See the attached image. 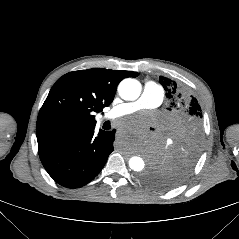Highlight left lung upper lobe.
Segmentation results:
<instances>
[{
  "mask_svg": "<svg viewBox=\"0 0 239 239\" xmlns=\"http://www.w3.org/2000/svg\"><path fill=\"white\" fill-rule=\"evenodd\" d=\"M159 81L169 102V141L142 181L155 189L181 183L193 169L203 143L202 111L189 90L167 77Z\"/></svg>",
  "mask_w": 239,
  "mask_h": 239,
  "instance_id": "1",
  "label": "left lung upper lobe"
}]
</instances>
